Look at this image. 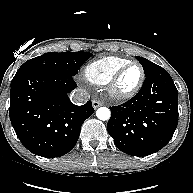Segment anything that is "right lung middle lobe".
<instances>
[{
    "mask_svg": "<svg viewBox=\"0 0 193 193\" xmlns=\"http://www.w3.org/2000/svg\"><path fill=\"white\" fill-rule=\"evenodd\" d=\"M91 56L92 54L89 52L45 53L26 61L16 74L44 71L73 77Z\"/></svg>",
    "mask_w": 193,
    "mask_h": 193,
    "instance_id": "1",
    "label": "right lung middle lobe"
}]
</instances>
